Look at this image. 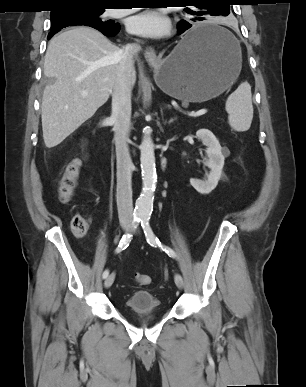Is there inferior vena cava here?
<instances>
[{
  "instance_id": "inferior-vena-cava-1",
  "label": "inferior vena cava",
  "mask_w": 306,
  "mask_h": 387,
  "mask_svg": "<svg viewBox=\"0 0 306 387\" xmlns=\"http://www.w3.org/2000/svg\"><path fill=\"white\" fill-rule=\"evenodd\" d=\"M140 51L137 44H128L121 50L118 73L112 92L114 142L117 160V208L120 222L133 221L132 169L129 154L131 120V91L133 87L134 57Z\"/></svg>"
}]
</instances>
